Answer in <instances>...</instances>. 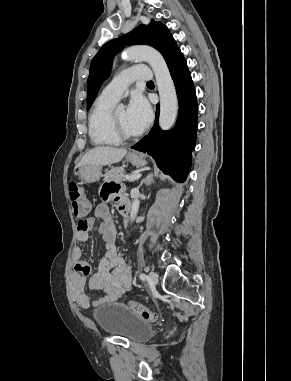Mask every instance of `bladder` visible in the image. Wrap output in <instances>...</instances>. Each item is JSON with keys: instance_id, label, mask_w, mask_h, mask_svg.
<instances>
[{"instance_id": "1", "label": "bladder", "mask_w": 291, "mask_h": 381, "mask_svg": "<svg viewBox=\"0 0 291 381\" xmlns=\"http://www.w3.org/2000/svg\"><path fill=\"white\" fill-rule=\"evenodd\" d=\"M100 329L130 342H142L152 336V326L120 303H111L94 311Z\"/></svg>"}]
</instances>
